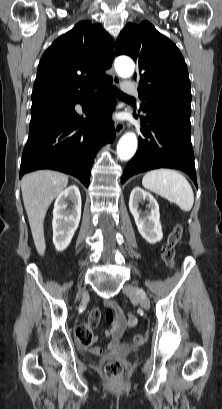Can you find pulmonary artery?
<instances>
[{
  "label": "pulmonary artery",
  "instance_id": "1",
  "mask_svg": "<svg viewBox=\"0 0 222 409\" xmlns=\"http://www.w3.org/2000/svg\"><path fill=\"white\" fill-rule=\"evenodd\" d=\"M123 90L127 95H138V90L134 84H124Z\"/></svg>",
  "mask_w": 222,
  "mask_h": 409
}]
</instances>
